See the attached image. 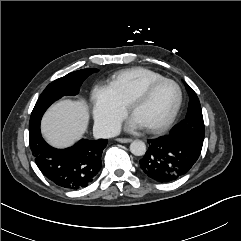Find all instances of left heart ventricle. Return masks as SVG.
<instances>
[{"label":"left heart ventricle","mask_w":241,"mask_h":241,"mask_svg":"<svg viewBox=\"0 0 241 241\" xmlns=\"http://www.w3.org/2000/svg\"><path fill=\"white\" fill-rule=\"evenodd\" d=\"M177 100V88L171 83H164L135 109L133 117L144 126L161 125L171 116Z\"/></svg>","instance_id":"obj_1"}]
</instances>
